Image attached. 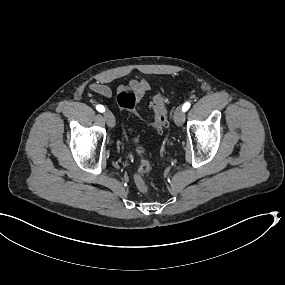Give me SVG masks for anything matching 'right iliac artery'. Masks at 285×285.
Instances as JSON below:
<instances>
[{
  "instance_id": "obj_1",
  "label": "right iliac artery",
  "mask_w": 285,
  "mask_h": 285,
  "mask_svg": "<svg viewBox=\"0 0 285 285\" xmlns=\"http://www.w3.org/2000/svg\"><path fill=\"white\" fill-rule=\"evenodd\" d=\"M96 109H97L99 112H101V113L105 111V108H104L103 105H97V106H96Z\"/></svg>"
}]
</instances>
